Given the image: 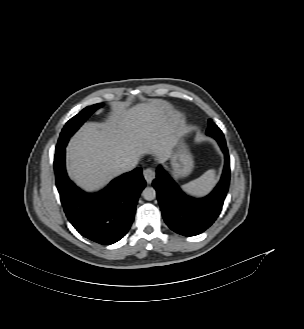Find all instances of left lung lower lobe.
<instances>
[{"label":"left lung lower lobe","instance_id":"left-lung-lower-lobe-1","mask_svg":"<svg viewBox=\"0 0 304 329\" xmlns=\"http://www.w3.org/2000/svg\"><path fill=\"white\" fill-rule=\"evenodd\" d=\"M206 134L216 139L225 155L223 174L218 185L206 197L195 199L184 194L159 166L153 187L166 224L176 233L195 236L210 227L222 210L230 181V162L222 131L213 124Z\"/></svg>","mask_w":304,"mask_h":329}]
</instances>
